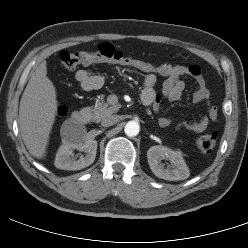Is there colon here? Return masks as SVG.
Returning a JSON list of instances; mask_svg holds the SVG:
<instances>
[{"instance_id":"1","label":"colon","mask_w":248,"mask_h":248,"mask_svg":"<svg viewBox=\"0 0 248 248\" xmlns=\"http://www.w3.org/2000/svg\"><path fill=\"white\" fill-rule=\"evenodd\" d=\"M59 57L62 68L67 71L75 70L79 66H88L96 63L120 64L142 73L156 72L158 69V65L143 59L127 56L107 42L99 44L93 51L70 52L64 50L60 52ZM59 114L64 115L65 109L60 108ZM217 136L216 132L200 136L196 141L198 148L205 153L211 152L216 144Z\"/></svg>"}]
</instances>
